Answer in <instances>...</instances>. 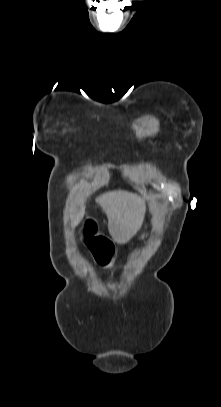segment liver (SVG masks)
<instances>
[{
  "label": "liver",
  "instance_id": "1",
  "mask_svg": "<svg viewBox=\"0 0 221 407\" xmlns=\"http://www.w3.org/2000/svg\"><path fill=\"white\" fill-rule=\"evenodd\" d=\"M106 213L108 230L113 240L124 244L141 228L146 207L144 201L136 194L125 191L105 193L96 199ZM85 207L75 216L73 223L78 224L83 217Z\"/></svg>",
  "mask_w": 221,
  "mask_h": 407
}]
</instances>
